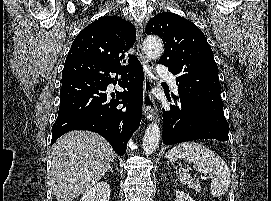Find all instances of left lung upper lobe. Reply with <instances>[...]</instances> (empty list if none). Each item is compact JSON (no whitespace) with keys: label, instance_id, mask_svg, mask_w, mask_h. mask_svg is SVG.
I'll list each match as a JSON object with an SVG mask.
<instances>
[{"label":"left lung upper lobe","instance_id":"1","mask_svg":"<svg viewBox=\"0 0 271 201\" xmlns=\"http://www.w3.org/2000/svg\"><path fill=\"white\" fill-rule=\"evenodd\" d=\"M145 32L163 40L165 51L159 64L177 75L178 96L199 111L211 135L228 140L218 67L203 32L191 21L170 12L155 15Z\"/></svg>","mask_w":271,"mask_h":201}]
</instances>
